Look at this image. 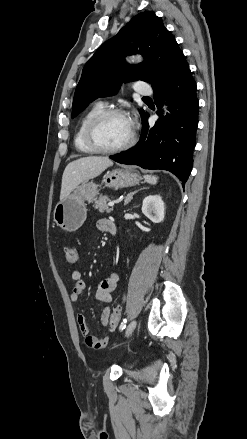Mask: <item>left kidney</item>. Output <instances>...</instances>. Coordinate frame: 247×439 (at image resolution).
Returning <instances> with one entry per match:
<instances>
[{
    "label": "left kidney",
    "instance_id": "1",
    "mask_svg": "<svg viewBox=\"0 0 247 439\" xmlns=\"http://www.w3.org/2000/svg\"><path fill=\"white\" fill-rule=\"evenodd\" d=\"M142 213L153 223H160L164 219L165 206L160 195H149L142 203Z\"/></svg>",
    "mask_w": 247,
    "mask_h": 439
}]
</instances>
